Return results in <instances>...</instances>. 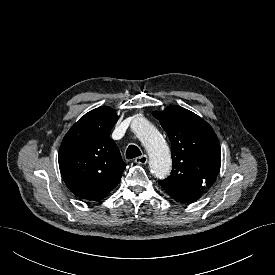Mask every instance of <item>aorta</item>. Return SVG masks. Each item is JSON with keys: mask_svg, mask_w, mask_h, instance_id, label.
I'll return each instance as SVG.
<instances>
[{"mask_svg": "<svg viewBox=\"0 0 275 275\" xmlns=\"http://www.w3.org/2000/svg\"><path fill=\"white\" fill-rule=\"evenodd\" d=\"M132 129L149 155L151 172L157 178H165L171 170L172 160L168 145L160 132L143 117L133 120Z\"/></svg>", "mask_w": 275, "mask_h": 275, "instance_id": "aorta-1", "label": "aorta"}]
</instances>
